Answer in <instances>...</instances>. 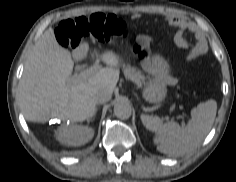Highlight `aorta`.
Masks as SVG:
<instances>
[{
  "instance_id": "762f6f07",
  "label": "aorta",
  "mask_w": 236,
  "mask_h": 182,
  "mask_svg": "<svg viewBox=\"0 0 236 182\" xmlns=\"http://www.w3.org/2000/svg\"><path fill=\"white\" fill-rule=\"evenodd\" d=\"M114 114L120 119H128L132 114V107L129 102L120 100L114 105Z\"/></svg>"
}]
</instances>
